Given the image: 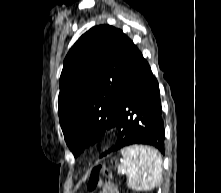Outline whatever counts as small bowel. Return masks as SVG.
Returning <instances> with one entry per match:
<instances>
[{
    "label": "small bowel",
    "instance_id": "c3829d8e",
    "mask_svg": "<svg viewBox=\"0 0 221 193\" xmlns=\"http://www.w3.org/2000/svg\"><path fill=\"white\" fill-rule=\"evenodd\" d=\"M99 193H119V192L113 184L105 183L102 185Z\"/></svg>",
    "mask_w": 221,
    "mask_h": 193
}]
</instances>
